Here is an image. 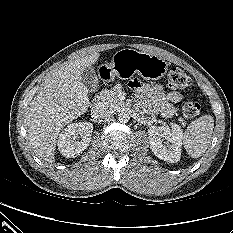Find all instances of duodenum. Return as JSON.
I'll list each match as a JSON object with an SVG mask.
<instances>
[{"instance_id":"410a0bca","label":"duodenum","mask_w":233,"mask_h":233,"mask_svg":"<svg viewBox=\"0 0 233 233\" xmlns=\"http://www.w3.org/2000/svg\"><path fill=\"white\" fill-rule=\"evenodd\" d=\"M101 99H102L101 94L96 95L92 100V106L94 107L97 106L100 103Z\"/></svg>"}]
</instances>
